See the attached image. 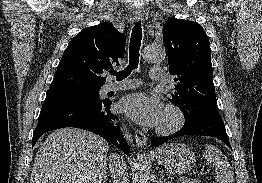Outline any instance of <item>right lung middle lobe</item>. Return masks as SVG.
I'll return each mask as SVG.
<instances>
[{
	"instance_id": "1",
	"label": "right lung middle lobe",
	"mask_w": 262,
	"mask_h": 183,
	"mask_svg": "<svg viewBox=\"0 0 262 183\" xmlns=\"http://www.w3.org/2000/svg\"><path fill=\"white\" fill-rule=\"evenodd\" d=\"M99 90L100 88L52 91V92H47V97L82 98L88 100H100Z\"/></svg>"
}]
</instances>
